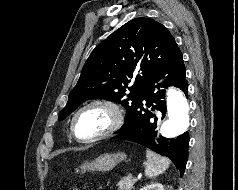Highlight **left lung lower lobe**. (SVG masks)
<instances>
[{
  "label": "left lung lower lobe",
  "instance_id": "0a47b994",
  "mask_svg": "<svg viewBox=\"0 0 238 190\" xmlns=\"http://www.w3.org/2000/svg\"><path fill=\"white\" fill-rule=\"evenodd\" d=\"M185 72L182 53L178 51L152 75L129 118L113 137V139L135 142L170 158L181 175L184 174L188 159V132L177 138L167 139L160 136L156 128L157 121L163 119L166 113L165 90L162 88L175 86L187 96Z\"/></svg>",
  "mask_w": 238,
  "mask_h": 190
}]
</instances>
